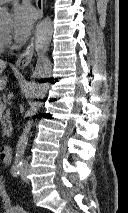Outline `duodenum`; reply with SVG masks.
<instances>
[{"label":"duodenum","mask_w":128,"mask_h":213,"mask_svg":"<svg viewBox=\"0 0 128 213\" xmlns=\"http://www.w3.org/2000/svg\"><path fill=\"white\" fill-rule=\"evenodd\" d=\"M12 147L8 145H3L0 147V160L4 164H9L12 160Z\"/></svg>","instance_id":"410a0bca"}]
</instances>
